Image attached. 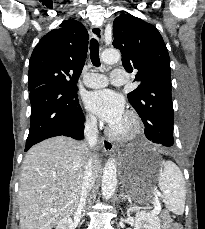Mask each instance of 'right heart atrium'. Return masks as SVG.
<instances>
[{"mask_svg": "<svg viewBox=\"0 0 205 229\" xmlns=\"http://www.w3.org/2000/svg\"><path fill=\"white\" fill-rule=\"evenodd\" d=\"M85 122H86L87 125L93 126L95 124V119H94V117L92 115L87 114L85 116Z\"/></svg>", "mask_w": 205, "mask_h": 229, "instance_id": "1", "label": "right heart atrium"}]
</instances>
